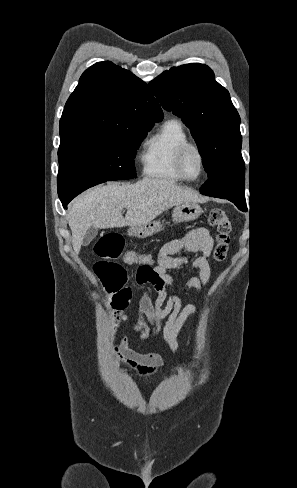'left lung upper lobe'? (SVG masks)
I'll return each instance as SVG.
<instances>
[{
  "instance_id": "5c2ea615",
  "label": "left lung upper lobe",
  "mask_w": 297,
  "mask_h": 488,
  "mask_svg": "<svg viewBox=\"0 0 297 488\" xmlns=\"http://www.w3.org/2000/svg\"><path fill=\"white\" fill-rule=\"evenodd\" d=\"M149 86L190 129L208 174L200 192L246 205L240 117L213 71L199 63L173 67Z\"/></svg>"
}]
</instances>
